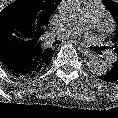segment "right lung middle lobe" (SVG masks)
I'll return each mask as SVG.
<instances>
[{
    "instance_id": "obj_1",
    "label": "right lung middle lobe",
    "mask_w": 118,
    "mask_h": 118,
    "mask_svg": "<svg viewBox=\"0 0 118 118\" xmlns=\"http://www.w3.org/2000/svg\"><path fill=\"white\" fill-rule=\"evenodd\" d=\"M24 5L20 3H11L5 7L3 12V20L6 22L14 31L19 32L24 26Z\"/></svg>"
}]
</instances>
